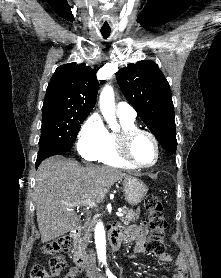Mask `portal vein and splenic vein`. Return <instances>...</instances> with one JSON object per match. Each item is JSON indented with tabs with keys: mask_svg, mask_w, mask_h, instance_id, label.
<instances>
[{
	"mask_svg": "<svg viewBox=\"0 0 221 278\" xmlns=\"http://www.w3.org/2000/svg\"><path fill=\"white\" fill-rule=\"evenodd\" d=\"M80 205H84V206L90 207V208H94V207L97 206L96 203L93 202V201H91L90 199L83 200V201L80 203ZM71 206L77 207V208L79 207V205H76V204H71ZM116 215L119 216V217H122L124 214L122 213L121 210H118V211H116Z\"/></svg>",
	"mask_w": 221,
	"mask_h": 278,
	"instance_id": "portal-vein-and-splenic-vein-1",
	"label": "portal vein and splenic vein"
}]
</instances>
